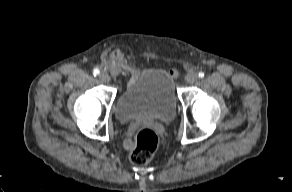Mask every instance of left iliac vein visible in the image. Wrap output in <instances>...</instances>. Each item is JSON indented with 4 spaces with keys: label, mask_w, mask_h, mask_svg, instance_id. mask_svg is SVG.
Masks as SVG:
<instances>
[{
    "label": "left iliac vein",
    "mask_w": 292,
    "mask_h": 192,
    "mask_svg": "<svg viewBox=\"0 0 292 192\" xmlns=\"http://www.w3.org/2000/svg\"><path fill=\"white\" fill-rule=\"evenodd\" d=\"M186 82L189 84H193L196 80H197V75L196 73L190 71L187 75H186Z\"/></svg>",
    "instance_id": "1"
}]
</instances>
